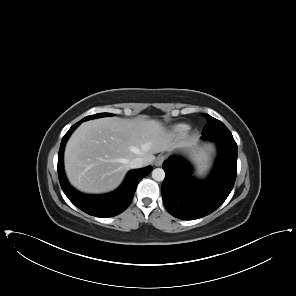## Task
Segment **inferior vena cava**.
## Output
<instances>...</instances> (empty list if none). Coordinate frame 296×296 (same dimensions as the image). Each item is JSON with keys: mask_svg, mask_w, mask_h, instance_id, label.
Listing matches in <instances>:
<instances>
[{"mask_svg": "<svg viewBox=\"0 0 296 296\" xmlns=\"http://www.w3.org/2000/svg\"><path fill=\"white\" fill-rule=\"evenodd\" d=\"M129 166L131 169L141 168L144 166V161L142 158L136 157L130 161Z\"/></svg>", "mask_w": 296, "mask_h": 296, "instance_id": "1", "label": "inferior vena cava"}]
</instances>
